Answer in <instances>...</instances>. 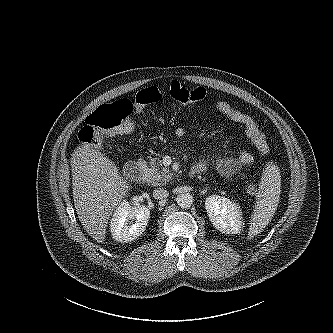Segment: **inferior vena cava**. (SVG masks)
Returning <instances> with one entry per match:
<instances>
[{
	"label": "inferior vena cava",
	"instance_id": "inferior-vena-cava-1",
	"mask_svg": "<svg viewBox=\"0 0 333 333\" xmlns=\"http://www.w3.org/2000/svg\"><path fill=\"white\" fill-rule=\"evenodd\" d=\"M169 195V192L165 190L164 188H157L153 191V196L155 199L162 200L167 198Z\"/></svg>",
	"mask_w": 333,
	"mask_h": 333
}]
</instances>
